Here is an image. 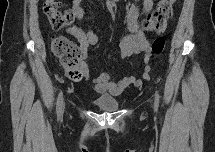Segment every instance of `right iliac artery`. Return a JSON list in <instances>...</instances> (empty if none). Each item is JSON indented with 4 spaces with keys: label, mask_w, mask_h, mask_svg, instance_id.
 Instances as JSON below:
<instances>
[{
    "label": "right iliac artery",
    "mask_w": 215,
    "mask_h": 152,
    "mask_svg": "<svg viewBox=\"0 0 215 152\" xmlns=\"http://www.w3.org/2000/svg\"><path fill=\"white\" fill-rule=\"evenodd\" d=\"M62 104H63V93L61 91L58 95L57 104H56V110H57L58 117L62 116Z\"/></svg>",
    "instance_id": "1"
}]
</instances>
